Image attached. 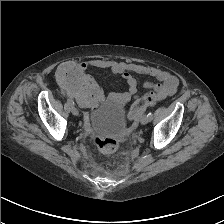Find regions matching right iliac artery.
Returning a JSON list of instances; mask_svg holds the SVG:
<instances>
[{"label": "right iliac artery", "mask_w": 224, "mask_h": 224, "mask_svg": "<svg viewBox=\"0 0 224 224\" xmlns=\"http://www.w3.org/2000/svg\"><path fill=\"white\" fill-rule=\"evenodd\" d=\"M67 103L70 105V106H74V102L70 99L67 100Z\"/></svg>", "instance_id": "obj_1"}]
</instances>
